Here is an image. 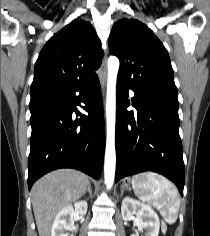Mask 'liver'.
<instances>
[{"instance_id":"1","label":"liver","mask_w":210,"mask_h":236,"mask_svg":"<svg viewBox=\"0 0 210 236\" xmlns=\"http://www.w3.org/2000/svg\"><path fill=\"white\" fill-rule=\"evenodd\" d=\"M88 184V176L73 169H59L36 181L31 200L39 236H50L57 213L80 199Z\"/></svg>"}]
</instances>
